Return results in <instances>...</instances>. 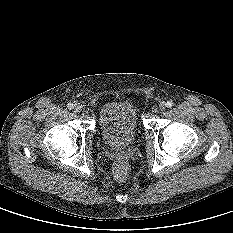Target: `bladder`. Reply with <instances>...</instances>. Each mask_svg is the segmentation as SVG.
Segmentation results:
<instances>
[{
  "instance_id": "bladder-1",
  "label": "bladder",
  "mask_w": 233,
  "mask_h": 233,
  "mask_svg": "<svg viewBox=\"0 0 233 233\" xmlns=\"http://www.w3.org/2000/svg\"><path fill=\"white\" fill-rule=\"evenodd\" d=\"M98 130L102 139L112 147L130 145L141 130L138 105L128 98L106 103L99 113Z\"/></svg>"
}]
</instances>
